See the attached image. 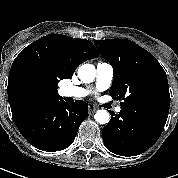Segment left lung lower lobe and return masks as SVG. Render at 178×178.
Masks as SVG:
<instances>
[{"instance_id":"0a47b994","label":"left lung lower lobe","mask_w":178,"mask_h":178,"mask_svg":"<svg viewBox=\"0 0 178 178\" xmlns=\"http://www.w3.org/2000/svg\"><path fill=\"white\" fill-rule=\"evenodd\" d=\"M165 125L138 117L125 110L114 116L103 128L105 147L114 154L135 156L148 150L160 137Z\"/></svg>"}]
</instances>
